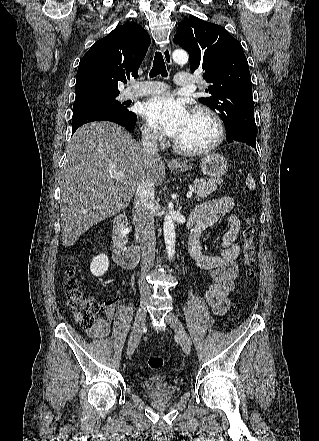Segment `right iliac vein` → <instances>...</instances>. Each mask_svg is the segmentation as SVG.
Listing matches in <instances>:
<instances>
[{"mask_svg":"<svg viewBox=\"0 0 319 441\" xmlns=\"http://www.w3.org/2000/svg\"><path fill=\"white\" fill-rule=\"evenodd\" d=\"M147 311H146V302L141 303L138 311L136 313L135 321L132 327V332L128 342L127 355L131 356L135 349L137 348L141 334L143 331V327L146 321Z\"/></svg>","mask_w":319,"mask_h":441,"instance_id":"1","label":"right iliac vein"}]
</instances>
